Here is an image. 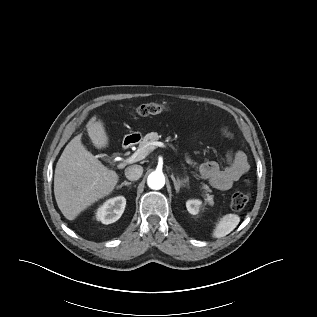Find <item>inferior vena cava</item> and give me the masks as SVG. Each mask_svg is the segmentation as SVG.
<instances>
[{"instance_id": "obj_1", "label": "inferior vena cava", "mask_w": 317, "mask_h": 317, "mask_svg": "<svg viewBox=\"0 0 317 317\" xmlns=\"http://www.w3.org/2000/svg\"><path fill=\"white\" fill-rule=\"evenodd\" d=\"M143 173V167L140 165H132L125 169V176L131 181L138 180Z\"/></svg>"}]
</instances>
